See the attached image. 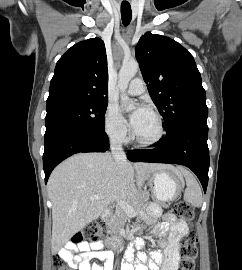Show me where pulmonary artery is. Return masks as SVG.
I'll use <instances>...</instances> for the list:
<instances>
[{
	"mask_svg": "<svg viewBox=\"0 0 242 270\" xmlns=\"http://www.w3.org/2000/svg\"><path fill=\"white\" fill-rule=\"evenodd\" d=\"M145 91V84L144 81L140 78H135L131 81L127 92L130 95H140Z\"/></svg>",
	"mask_w": 242,
	"mask_h": 270,
	"instance_id": "obj_1",
	"label": "pulmonary artery"
}]
</instances>
